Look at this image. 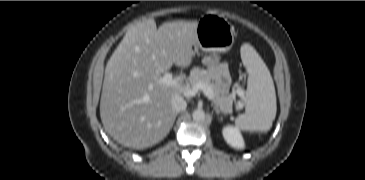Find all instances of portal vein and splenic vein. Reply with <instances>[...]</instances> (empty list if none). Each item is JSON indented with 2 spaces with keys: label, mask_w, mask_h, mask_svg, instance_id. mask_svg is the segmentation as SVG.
Listing matches in <instances>:
<instances>
[{
  "label": "portal vein and splenic vein",
  "mask_w": 365,
  "mask_h": 180,
  "mask_svg": "<svg viewBox=\"0 0 365 180\" xmlns=\"http://www.w3.org/2000/svg\"><path fill=\"white\" fill-rule=\"evenodd\" d=\"M160 82L167 85V86H173L178 88L185 96L187 97H193L195 96L199 90L203 91L205 96L210 99L214 100L215 96L211 88H209L207 85L203 83H198L192 88H188L181 84L178 78H174L172 73H165L162 78H160Z\"/></svg>",
  "instance_id": "obj_1"
}]
</instances>
